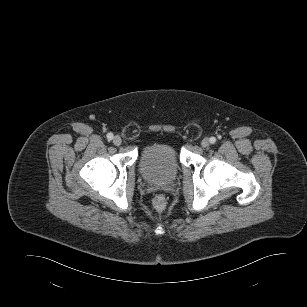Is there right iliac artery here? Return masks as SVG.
Wrapping results in <instances>:
<instances>
[{
    "label": "right iliac artery",
    "mask_w": 307,
    "mask_h": 307,
    "mask_svg": "<svg viewBox=\"0 0 307 307\" xmlns=\"http://www.w3.org/2000/svg\"><path fill=\"white\" fill-rule=\"evenodd\" d=\"M107 139L108 140H112L113 139V134L112 133H108L107 134Z\"/></svg>",
    "instance_id": "obj_1"
}]
</instances>
